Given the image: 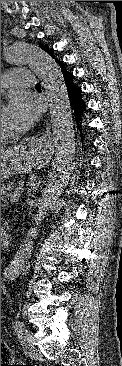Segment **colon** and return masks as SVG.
<instances>
[{"label":"colon","mask_w":122,"mask_h":366,"mask_svg":"<svg viewBox=\"0 0 122 366\" xmlns=\"http://www.w3.org/2000/svg\"><path fill=\"white\" fill-rule=\"evenodd\" d=\"M1 355L5 356V359L3 358V360H9L10 358V352L3 343H1Z\"/></svg>","instance_id":"obj_1"}]
</instances>
